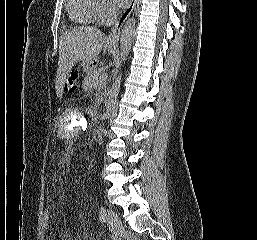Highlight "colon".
<instances>
[{"label":"colon","mask_w":257,"mask_h":240,"mask_svg":"<svg viewBox=\"0 0 257 240\" xmlns=\"http://www.w3.org/2000/svg\"><path fill=\"white\" fill-rule=\"evenodd\" d=\"M79 86V74L77 72H72L68 75L65 82V89L69 93H75ZM51 210L49 206H46L42 214V228L47 230L51 220Z\"/></svg>","instance_id":"colon-1"}]
</instances>
